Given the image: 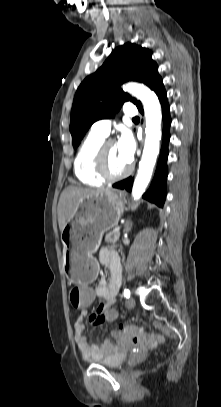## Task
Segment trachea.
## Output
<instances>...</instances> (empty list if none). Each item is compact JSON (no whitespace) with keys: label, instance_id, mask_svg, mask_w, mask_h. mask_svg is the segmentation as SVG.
<instances>
[{"label":"trachea","instance_id":"obj_1","mask_svg":"<svg viewBox=\"0 0 221 407\" xmlns=\"http://www.w3.org/2000/svg\"><path fill=\"white\" fill-rule=\"evenodd\" d=\"M133 120H139V117L136 116V117L133 118Z\"/></svg>","mask_w":221,"mask_h":407}]
</instances>
